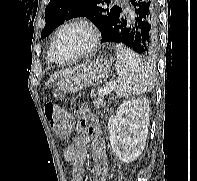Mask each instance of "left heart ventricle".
Masks as SVG:
<instances>
[{
    "mask_svg": "<svg viewBox=\"0 0 197 181\" xmlns=\"http://www.w3.org/2000/svg\"><path fill=\"white\" fill-rule=\"evenodd\" d=\"M90 33L81 26H72L63 31L60 35L56 52L61 60H67L87 48L90 43Z\"/></svg>",
    "mask_w": 197,
    "mask_h": 181,
    "instance_id": "obj_1",
    "label": "left heart ventricle"
}]
</instances>
